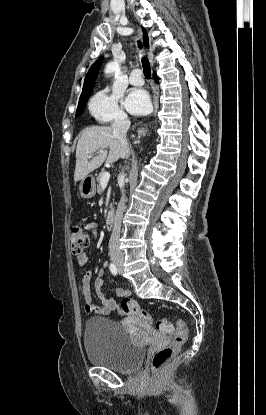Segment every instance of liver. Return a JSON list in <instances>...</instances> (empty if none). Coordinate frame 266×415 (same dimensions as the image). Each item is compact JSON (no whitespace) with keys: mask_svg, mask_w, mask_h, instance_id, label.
<instances>
[{"mask_svg":"<svg viewBox=\"0 0 266 415\" xmlns=\"http://www.w3.org/2000/svg\"><path fill=\"white\" fill-rule=\"evenodd\" d=\"M109 148V153L105 150ZM102 152L88 158L94 152ZM125 154V149L119 139L113 135V129L107 126H90L81 132L76 148V167L74 181H80L89 173L99 168L106 160L107 163H114ZM90 159V160H88Z\"/></svg>","mask_w":266,"mask_h":415,"instance_id":"6515ba94","label":"liver"}]
</instances>
